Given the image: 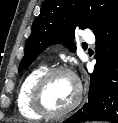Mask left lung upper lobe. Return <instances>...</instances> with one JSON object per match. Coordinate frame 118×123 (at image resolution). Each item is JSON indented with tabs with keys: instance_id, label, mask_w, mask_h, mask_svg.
<instances>
[{
	"instance_id": "obj_1",
	"label": "left lung upper lobe",
	"mask_w": 118,
	"mask_h": 123,
	"mask_svg": "<svg viewBox=\"0 0 118 123\" xmlns=\"http://www.w3.org/2000/svg\"><path fill=\"white\" fill-rule=\"evenodd\" d=\"M117 15L118 0H46L32 24L19 72L50 44L64 42L74 52L76 28H89L97 34Z\"/></svg>"
}]
</instances>
